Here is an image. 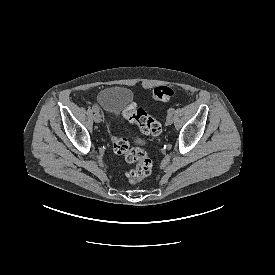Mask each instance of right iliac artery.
<instances>
[{
	"mask_svg": "<svg viewBox=\"0 0 275 275\" xmlns=\"http://www.w3.org/2000/svg\"><path fill=\"white\" fill-rule=\"evenodd\" d=\"M92 109H93V111H97V110L99 111V108L95 105L92 107Z\"/></svg>",
	"mask_w": 275,
	"mask_h": 275,
	"instance_id": "obj_1",
	"label": "right iliac artery"
}]
</instances>
